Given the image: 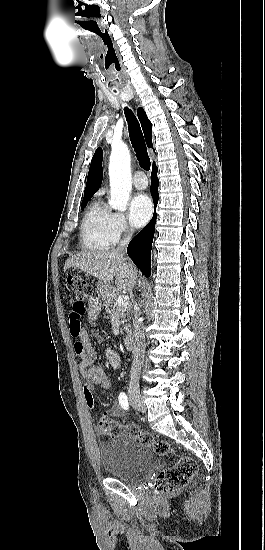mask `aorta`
Wrapping results in <instances>:
<instances>
[{
	"instance_id": "obj_1",
	"label": "aorta",
	"mask_w": 265,
	"mask_h": 550,
	"mask_svg": "<svg viewBox=\"0 0 265 550\" xmlns=\"http://www.w3.org/2000/svg\"><path fill=\"white\" fill-rule=\"evenodd\" d=\"M110 199L113 209L125 211L132 189L130 152L125 144L112 147L109 163Z\"/></svg>"
}]
</instances>
